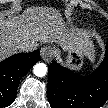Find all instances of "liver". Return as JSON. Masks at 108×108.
Masks as SVG:
<instances>
[{"mask_svg": "<svg viewBox=\"0 0 108 108\" xmlns=\"http://www.w3.org/2000/svg\"><path fill=\"white\" fill-rule=\"evenodd\" d=\"M38 42H55L64 50H77L92 57L93 44L85 33L69 32L57 10L31 7L23 14L4 19L0 17V57L3 59L19 50L21 45L35 49Z\"/></svg>", "mask_w": 108, "mask_h": 108, "instance_id": "6515ba94", "label": "liver"}]
</instances>
